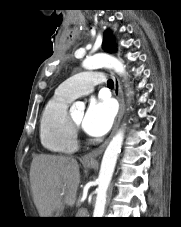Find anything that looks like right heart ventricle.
Segmentation results:
<instances>
[{"mask_svg": "<svg viewBox=\"0 0 181 227\" xmlns=\"http://www.w3.org/2000/svg\"><path fill=\"white\" fill-rule=\"evenodd\" d=\"M72 100L58 92L46 103L40 118V140L53 153L69 154L78 148L76 132L69 122L68 105Z\"/></svg>", "mask_w": 181, "mask_h": 227, "instance_id": "1", "label": "right heart ventricle"}]
</instances>
